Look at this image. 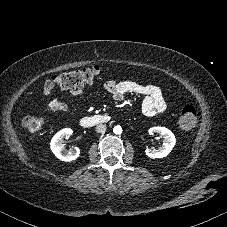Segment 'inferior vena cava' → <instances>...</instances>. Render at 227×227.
<instances>
[{"instance_id":"1","label":"inferior vena cava","mask_w":227,"mask_h":227,"mask_svg":"<svg viewBox=\"0 0 227 227\" xmlns=\"http://www.w3.org/2000/svg\"><path fill=\"white\" fill-rule=\"evenodd\" d=\"M105 131H106V126L103 125V124L98 125V126L96 127V132H97V133H105Z\"/></svg>"}]
</instances>
